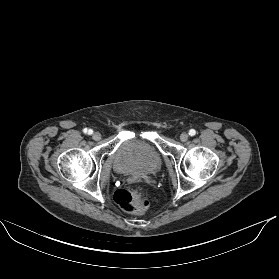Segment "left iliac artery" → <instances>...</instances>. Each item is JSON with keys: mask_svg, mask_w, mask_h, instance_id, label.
<instances>
[{"mask_svg": "<svg viewBox=\"0 0 279 279\" xmlns=\"http://www.w3.org/2000/svg\"><path fill=\"white\" fill-rule=\"evenodd\" d=\"M196 134V131L194 130V129H191L190 131H189V135L190 136H194Z\"/></svg>", "mask_w": 279, "mask_h": 279, "instance_id": "obj_1", "label": "left iliac artery"}]
</instances>
